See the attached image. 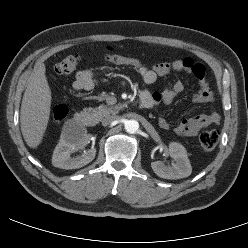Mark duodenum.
Masks as SVG:
<instances>
[{
  "instance_id": "obj_1",
  "label": "duodenum",
  "mask_w": 248,
  "mask_h": 248,
  "mask_svg": "<svg viewBox=\"0 0 248 248\" xmlns=\"http://www.w3.org/2000/svg\"><path fill=\"white\" fill-rule=\"evenodd\" d=\"M140 106L143 109H148L152 106L150 98L147 94H142L140 96ZM74 123L83 127H91L95 124V119L88 113L77 112L73 118Z\"/></svg>"
}]
</instances>
